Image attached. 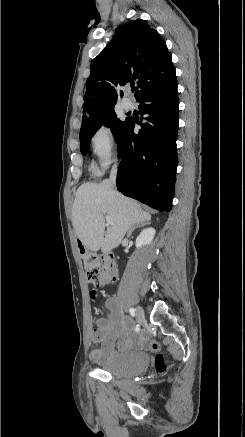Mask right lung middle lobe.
<instances>
[{
  "mask_svg": "<svg viewBox=\"0 0 245 437\" xmlns=\"http://www.w3.org/2000/svg\"><path fill=\"white\" fill-rule=\"evenodd\" d=\"M127 121L128 119H126L125 121H121L120 119H118L114 111V108H112L99 115L92 122L81 126L80 129L81 153L84 155L87 153L91 138L101 126L105 125L107 127H110L117 141Z\"/></svg>",
  "mask_w": 245,
  "mask_h": 437,
  "instance_id": "obj_1",
  "label": "right lung middle lobe"
}]
</instances>
